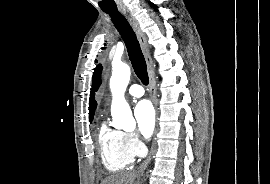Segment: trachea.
Returning a JSON list of instances; mask_svg holds the SVG:
<instances>
[{
    "label": "trachea",
    "instance_id": "obj_1",
    "mask_svg": "<svg viewBox=\"0 0 270 184\" xmlns=\"http://www.w3.org/2000/svg\"><path fill=\"white\" fill-rule=\"evenodd\" d=\"M104 12L109 14L116 29L120 33L126 45L135 74L144 85H148L149 78L146 61L132 27L118 9L104 10Z\"/></svg>",
    "mask_w": 270,
    "mask_h": 184
}]
</instances>
